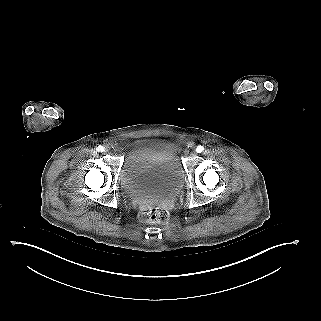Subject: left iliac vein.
Returning <instances> with one entry per match:
<instances>
[{
  "instance_id": "obj_1",
  "label": "left iliac vein",
  "mask_w": 321,
  "mask_h": 321,
  "mask_svg": "<svg viewBox=\"0 0 321 321\" xmlns=\"http://www.w3.org/2000/svg\"><path fill=\"white\" fill-rule=\"evenodd\" d=\"M191 156H192V157L196 156V153H192Z\"/></svg>"
}]
</instances>
